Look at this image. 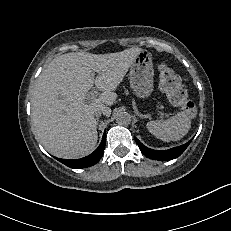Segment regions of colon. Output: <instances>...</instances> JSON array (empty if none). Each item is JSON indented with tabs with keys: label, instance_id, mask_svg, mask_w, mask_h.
I'll use <instances>...</instances> for the list:
<instances>
[{
	"label": "colon",
	"instance_id": "1",
	"mask_svg": "<svg viewBox=\"0 0 231 231\" xmlns=\"http://www.w3.org/2000/svg\"><path fill=\"white\" fill-rule=\"evenodd\" d=\"M160 88L168 100L175 106L180 107L188 116L196 113L195 104L189 99L188 90L176 72L166 64L158 68Z\"/></svg>",
	"mask_w": 231,
	"mask_h": 231
}]
</instances>
